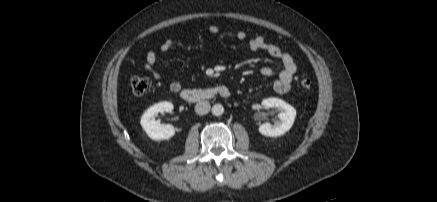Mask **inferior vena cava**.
<instances>
[{"mask_svg": "<svg viewBox=\"0 0 437 202\" xmlns=\"http://www.w3.org/2000/svg\"><path fill=\"white\" fill-rule=\"evenodd\" d=\"M210 103L208 101H200L195 105V112L198 115H205L210 111Z\"/></svg>", "mask_w": 437, "mask_h": 202, "instance_id": "obj_1", "label": "inferior vena cava"}]
</instances>
